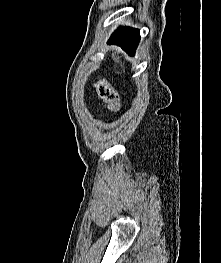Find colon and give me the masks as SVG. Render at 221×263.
I'll return each instance as SVG.
<instances>
[{"instance_id": "colon-1", "label": "colon", "mask_w": 221, "mask_h": 263, "mask_svg": "<svg viewBox=\"0 0 221 263\" xmlns=\"http://www.w3.org/2000/svg\"><path fill=\"white\" fill-rule=\"evenodd\" d=\"M95 89L99 97L106 103L111 112H117L119 109V99L115 90L105 79H100L95 83Z\"/></svg>"}]
</instances>
